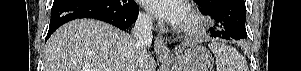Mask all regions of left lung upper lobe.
Segmentation results:
<instances>
[{
	"instance_id": "5c2ea615",
	"label": "left lung upper lobe",
	"mask_w": 301,
	"mask_h": 71,
	"mask_svg": "<svg viewBox=\"0 0 301 71\" xmlns=\"http://www.w3.org/2000/svg\"><path fill=\"white\" fill-rule=\"evenodd\" d=\"M195 2L199 3V5L201 7H207L208 4L212 1V0H194Z\"/></svg>"
}]
</instances>
